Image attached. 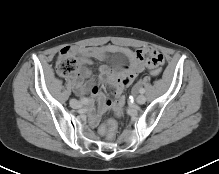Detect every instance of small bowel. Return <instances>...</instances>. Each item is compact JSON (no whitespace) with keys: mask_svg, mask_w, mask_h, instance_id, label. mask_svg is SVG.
Here are the masks:
<instances>
[{"mask_svg":"<svg viewBox=\"0 0 219 174\" xmlns=\"http://www.w3.org/2000/svg\"><path fill=\"white\" fill-rule=\"evenodd\" d=\"M150 48L132 49L119 47L113 44H107L98 47H76L68 50L69 53L77 55L79 58L80 68L76 75L71 77L76 92L83 95L87 92L91 93V100L99 102L97 113L91 115V124L96 126L99 123L101 115L111 105L101 94L99 88L92 82L84 83V79L90 75L89 69L85 66L91 63L93 59L106 60L111 54H121L129 60V66L120 69L111 68L107 65L100 67V79L103 82L116 86L113 92L114 110L116 114L124 113V105L126 102L125 88L130 86L137 75L141 73L145 67L156 68L163 64V55ZM141 54V58H140ZM147 65V66H146Z\"/></svg>","mask_w":219,"mask_h":174,"instance_id":"c3829d8e","label":"small bowel"}]
</instances>
